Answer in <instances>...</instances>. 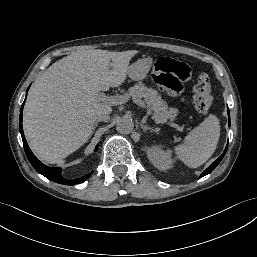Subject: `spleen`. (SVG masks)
<instances>
[{
  "label": "spleen",
  "mask_w": 257,
  "mask_h": 257,
  "mask_svg": "<svg viewBox=\"0 0 257 257\" xmlns=\"http://www.w3.org/2000/svg\"><path fill=\"white\" fill-rule=\"evenodd\" d=\"M220 137V123L209 115L185 137L184 143L175 147V153L188 167L203 165L216 150Z\"/></svg>",
  "instance_id": "spleen-1"
}]
</instances>
